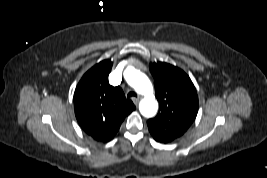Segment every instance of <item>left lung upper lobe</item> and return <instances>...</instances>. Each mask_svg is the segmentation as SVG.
<instances>
[{"instance_id": "obj_1", "label": "left lung upper lobe", "mask_w": 267, "mask_h": 178, "mask_svg": "<svg viewBox=\"0 0 267 178\" xmlns=\"http://www.w3.org/2000/svg\"><path fill=\"white\" fill-rule=\"evenodd\" d=\"M154 77L159 112L147 125L153 138L169 143L181 137L198 112V96L189 76L176 66L164 62L150 63Z\"/></svg>"}]
</instances>
